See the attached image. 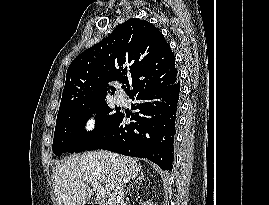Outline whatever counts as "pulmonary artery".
Segmentation results:
<instances>
[{
	"label": "pulmonary artery",
	"instance_id": "pulmonary-artery-1",
	"mask_svg": "<svg viewBox=\"0 0 269 205\" xmlns=\"http://www.w3.org/2000/svg\"><path fill=\"white\" fill-rule=\"evenodd\" d=\"M115 101L119 105H124L126 103V97L123 94H117L115 96Z\"/></svg>",
	"mask_w": 269,
	"mask_h": 205
}]
</instances>
